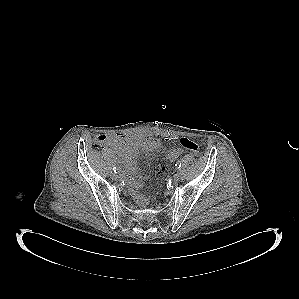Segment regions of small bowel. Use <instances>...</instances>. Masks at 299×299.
I'll list each match as a JSON object with an SVG mask.
<instances>
[{"mask_svg": "<svg viewBox=\"0 0 299 299\" xmlns=\"http://www.w3.org/2000/svg\"><path fill=\"white\" fill-rule=\"evenodd\" d=\"M108 136L104 142V146L111 147L115 150L119 160L123 164V176L134 187H140L142 182L148 177L147 174L140 175L138 173V164L136 156L139 151H151L158 149L161 146L159 139L152 136H129L124 134L117 135H100V137ZM99 137V136H98ZM182 154L180 148H171L166 159L170 162L175 161ZM165 171V167L161 166L159 174Z\"/></svg>", "mask_w": 299, "mask_h": 299, "instance_id": "obj_1", "label": "small bowel"}]
</instances>
